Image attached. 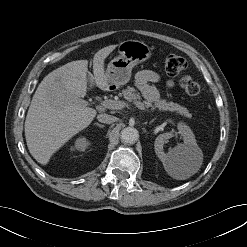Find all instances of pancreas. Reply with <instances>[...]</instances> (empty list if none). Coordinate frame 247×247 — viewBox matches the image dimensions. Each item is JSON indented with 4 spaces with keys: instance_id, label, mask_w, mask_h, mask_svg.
<instances>
[{
    "instance_id": "pancreas-1",
    "label": "pancreas",
    "mask_w": 247,
    "mask_h": 247,
    "mask_svg": "<svg viewBox=\"0 0 247 247\" xmlns=\"http://www.w3.org/2000/svg\"><path fill=\"white\" fill-rule=\"evenodd\" d=\"M123 97L129 102H139L140 94L134 87L127 86L126 89L122 90ZM146 106H151L152 108H158L161 111H172L180 115L190 118L187 108L181 106L180 104L169 102L165 99H159L154 104H146Z\"/></svg>"
}]
</instances>
